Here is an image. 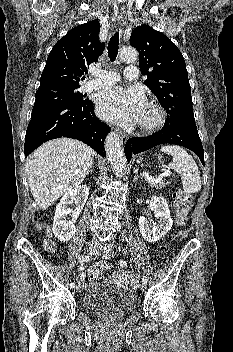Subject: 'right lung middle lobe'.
Returning <instances> with one entry per match:
<instances>
[{
  "label": "right lung middle lobe",
  "instance_id": "1",
  "mask_svg": "<svg viewBox=\"0 0 233 352\" xmlns=\"http://www.w3.org/2000/svg\"><path fill=\"white\" fill-rule=\"evenodd\" d=\"M80 85L51 84L41 86L36 92L34 107L81 103L83 95L78 93Z\"/></svg>",
  "mask_w": 233,
  "mask_h": 352
}]
</instances>
